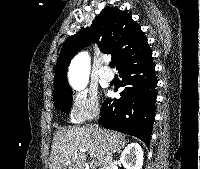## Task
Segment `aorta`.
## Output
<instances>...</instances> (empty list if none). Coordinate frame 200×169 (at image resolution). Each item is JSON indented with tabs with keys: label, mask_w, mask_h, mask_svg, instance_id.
<instances>
[{
	"label": "aorta",
	"mask_w": 200,
	"mask_h": 169,
	"mask_svg": "<svg viewBox=\"0 0 200 169\" xmlns=\"http://www.w3.org/2000/svg\"><path fill=\"white\" fill-rule=\"evenodd\" d=\"M90 70V57L87 52L79 53L69 66L68 77L70 84L76 90L86 87Z\"/></svg>",
	"instance_id": "aorta-1"
}]
</instances>
